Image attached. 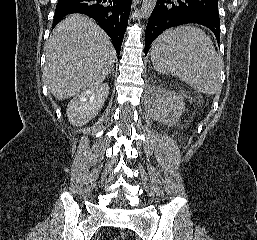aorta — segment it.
Listing matches in <instances>:
<instances>
[{"instance_id":"obj_1","label":"aorta","mask_w":257,"mask_h":240,"mask_svg":"<svg viewBox=\"0 0 257 240\" xmlns=\"http://www.w3.org/2000/svg\"><path fill=\"white\" fill-rule=\"evenodd\" d=\"M157 0H143L141 7V17L149 18L153 12Z\"/></svg>"}]
</instances>
